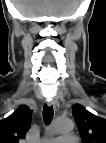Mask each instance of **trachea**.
<instances>
[{
  "label": "trachea",
  "mask_w": 106,
  "mask_h": 143,
  "mask_svg": "<svg viewBox=\"0 0 106 143\" xmlns=\"http://www.w3.org/2000/svg\"><path fill=\"white\" fill-rule=\"evenodd\" d=\"M53 107H49L46 104L43 106V119L46 124H49L53 118Z\"/></svg>",
  "instance_id": "3493384b"
}]
</instances>
